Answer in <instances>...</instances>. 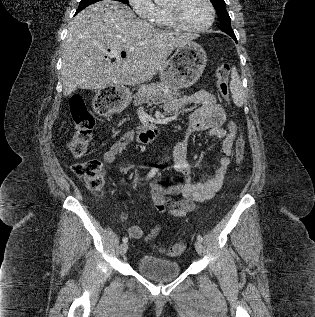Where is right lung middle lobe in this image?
Wrapping results in <instances>:
<instances>
[{
  "mask_svg": "<svg viewBox=\"0 0 315 317\" xmlns=\"http://www.w3.org/2000/svg\"><path fill=\"white\" fill-rule=\"evenodd\" d=\"M98 1H102V0H81L80 5H79L78 10H77V13L79 11L83 10L85 7H87L93 3H96ZM114 1H119V2H122L124 4H129L128 0H114Z\"/></svg>",
  "mask_w": 315,
  "mask_h": 317,
  "instance_id": "obj_1",
  "label": "right lung middle lobe"
}]
</instances>
